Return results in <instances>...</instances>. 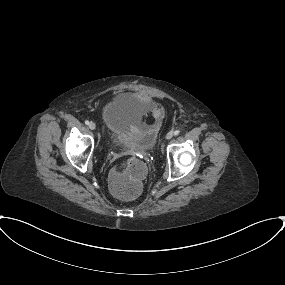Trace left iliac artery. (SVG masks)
<instances>
[{
  "label": "left iliac artery",
  "instance_id": "left-iliac-artery-1",
  "mask_svg": "<svg viewBox=\"0 0 285 285\" xmlns=\"http://www.w3.org/2000/svg\"><path fill=\"white\" fill-rule=\"evenodd\" d=\"M179 132H180L179 130H175V131H174V135H178Z\"/></svg>",
  "mask_w": 285,
  "mask_h": 285
}]
</instances>
